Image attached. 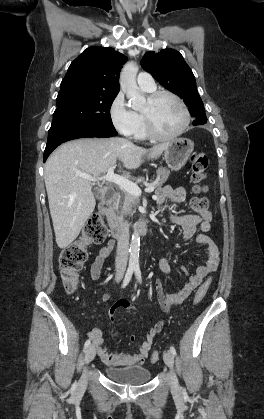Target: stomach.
<instances>
[{"label": "stomach", "instance_id": "0dacf381", "mask_svg": "<svg viewBox=\"0 0 264 419\" xmlns=\"http://www.w3.org/2000/svg\"><path fill=\"white\" fill-rule=\"evenodd\" d=\"M194 144L188 138H176L167 143L164 150V159L169 168L178 171L184 166L193 152Z\"/></svg>", "mask_w": 264, "mask_h": 419}]
</instances>
